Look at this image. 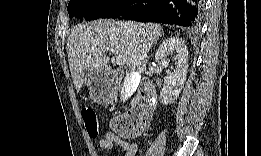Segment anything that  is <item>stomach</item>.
I'll return each instance as SVG.
<instances>
[{"mask_svg":"<svg viewBox=\"0 0 261 156\" xmlns=\"http://www.w3.org/2000/svg\"><path fill=\"white\" fill-rule=\"evenodd\" d=\"M100 82L107 84V86H109V89L111 88L112 84H111L110 75L108 72L99 71V72H94L93 74H90L88 77V83H87L89 90L91 91L93 85L100 83Z\"/></svg>","mask_w":261,"mask_h":156,"instance_id":"1","label":"stomach"}]
</instances>
